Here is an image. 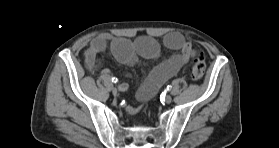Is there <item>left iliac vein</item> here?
<instances>
[{
    "label": "left iliac vein",
    "mask_w": 279,
    "mask_h": 148,
    "mask_svg": "<svg viewBox=\"0 0 279 148\" xmlns=\"http://www.w3.org/2000/svg\"><path fill=\"white\" fill-rule=\"evenodd\" d=\"M165 102H166L167 104L171 103V102H172V97H171L170 95H167V96L165 97Z\"/></svg>",
    "instance_id": "obj_1"
}]
</instances>
